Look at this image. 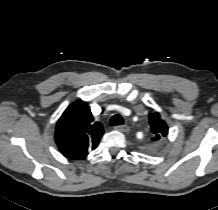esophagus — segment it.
<instances>
[{
	"instance_id": "1",
	"label": "esophagus",
	"mask_w": 218,
	"mask_h": 210,
	"mask_svg": "<svg viewBox=\"0 0 218 210\" xmlns=\"http://www.w3.org/2000/svg\"><path fill=\"white\" fill-rule=\"evenodd\" d=\"M116 129L120 132H128L129 131V127L127 125L117 126Z\"/></svg>"
}]
</instances>
